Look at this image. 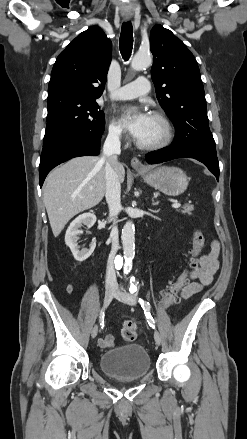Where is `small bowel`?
Returning a JSON list of instances; mask_svg holds the SVG:
<instances>
[{"label":"small bowel","mask_w":247,"mask_h":439,"mask_svg":"<svg viewBox=\"0 0 247 439\" xmlns=\"http://www.w3.org/2000/svg\"><path fill=\"white\" fill-rule=\"evenodd\" d=\"M219 253L220 245L217 241L211 244L210 250L201 255L198 259L197 266L192 269L188 283L181 291V298L188 299L194 294L198 293L204 286L212 283L215 274L219 269ZM72 286L67 287V292L71 293ZM99 345L103 348L114 345V338L112 335H107L99 340Z\"/></svg>","instance_id":"c3829d8e"}]
</instances>
